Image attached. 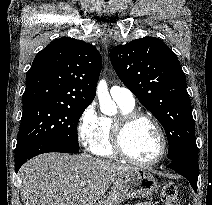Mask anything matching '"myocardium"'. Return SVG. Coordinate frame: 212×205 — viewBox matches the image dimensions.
<instances>
[{
	"instance_id": "1",
	"label": "myocardium",
	"mask_w": 212,
	"mask_h": 205,
	"mask_svg": "<svg viewBox=\"0 0 212 205\" xmlns=\"http://www.w3.org/2000/svg\"><path fill=\"white\" fill-rule=\"evenodd\" d=\"M139 118H145L153 124L160 140V150L158 155L155 158L146 161L137 160L131 157L124 147V134L126 129L132 122ZM111 142L113 150L120 158L138 166H152L159 163L164 158L167 149L166 136L159 121L153 115L137 110L121 113L114 119L111 129Z\"/></svg>"
}]
</instances>
